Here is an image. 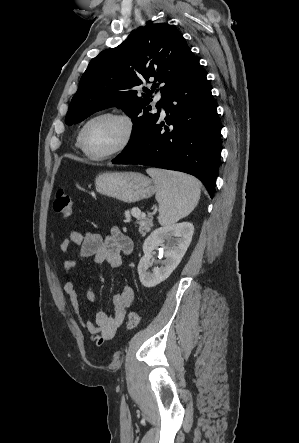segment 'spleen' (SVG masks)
<instances>
[{"mask_svg": "<svg viewBox=\"0 0 299 443\" xmlns=\"http://www.w3.org/2000/svg\"><path fill=\"white\" fill-rule=\"evenodd\" d=\"M146 172L155 181L159 203L158 221L163 226L175 224L189 215L198 204L199 182L186 174L149 168Z\"/></svg>", "mask_w": 299, "mask_h": 443, "instance_id": "3e777b00", "label": "spleen"}]
</instances>
